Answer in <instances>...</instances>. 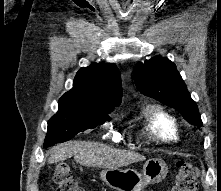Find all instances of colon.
I'll list each match as a JSON object with an SVG mask.
<instances>
[{
	"mask_svg": "<svg viewBox=\"0 0 221 191\" xmlns=\"http://www.w3.org/2000/svg\"><path fill=\"white\" fill-rule=\"evenodd\" d=\"M178 172L170 191H195L197 187L198 170L185 161L177 163ZM53 180L58 186L57 191H85L74 178L72 170L67 163L57 165Z\"/></svg>",
	"mask_w": 221,
	"mask_h": 191,
	"instance_id": "colon-1",
	"label": "colon"
}]
</instances>
